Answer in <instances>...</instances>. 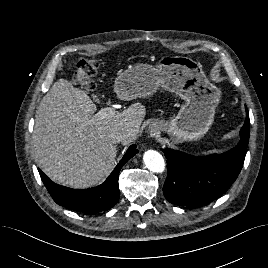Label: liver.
<instances>
[{
	"instance_id": "6515ba94",
	"label": "liver",
	"mask_w": 268,
	"mask_h": 268,
	"mask_svg": "<svg viewBox=\"0 0 268 268\" xmlns=\"http://www.w3.org/2000/svg\"><path fill=\"white\" fill-rule=\"evenodd\" d=\"M96 110L90 97L65 79L56 81L40 101L32 137L33 156L52 181L77 189L102 183L117 155V143L110 141L108 134L115 130L137 135L145 117V107L140 103L105 119L94 114ZM132 139H124L122 144Z\"/></svg>"
}]
</instances>
